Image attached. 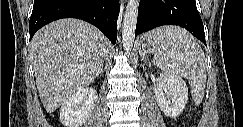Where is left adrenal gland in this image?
Here are the masks:
<instances>
[{"label":"left adrenal gland","mask_w":243,"mask_h":127,"mask_svg":"<svg viewBox=\"0 0 243 127\" xmlns=\"http://www.w3.org/2000/svg\"><path fill=\"white\" fill-rule=\"evenodd\" d=\"M140 56H141V62L147 63L145 55L142 52L140 53Z\"/></svg>","instance_id":"1"}]
</instances>
